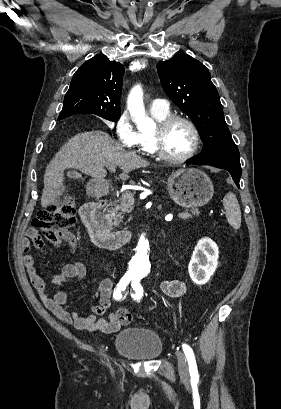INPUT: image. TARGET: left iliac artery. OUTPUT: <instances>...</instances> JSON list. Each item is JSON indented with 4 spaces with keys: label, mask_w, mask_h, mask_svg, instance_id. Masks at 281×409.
I'll return each mask as SVG.
<instances>
[{
    "label": "left iliac artery",
    "mask_w": 281,
    "mask_h": 409,
    "mask_svg": "<svg viewBox=\"0 0 281 409\" xmlns=\"http://www.w3.org/2000/svg\"><path fill=\"white\" fill-rule=\"evenodd\" d=\"M132 290L131 296L134 300L139 301L143 296V288L140 284V279L138 277H134L132 279ZM183 351L187 357L188 364H189V372L192 379H198V370L196 365L195 356L191 347L187 344H183Z\"/></svg>",
    "instance_id": "obj_1"
}]
</instances>
